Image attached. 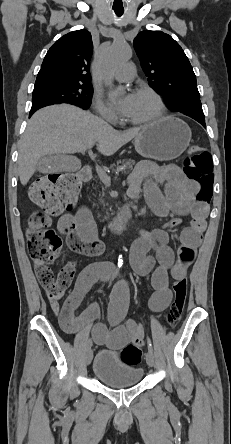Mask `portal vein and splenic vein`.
<instances>
[{
    "mask_svg": "<svg viewBox=\"0 0 231 444\" xmlns=\"http://www.w3.org/2000/svg\"><path fill=\"white\" fill-rule=\"evenodd\" d=\"M89 153H91V148H89ZM121 169L122 168H119V170H121ZM96 171H97L99 178L103 182V184L106 186H110L111 185V178L107 175L105 170H103L100 166L97 165Z\"/></svg>",
    "mask_w": 231,
    "mask_h": 444,
    "instance_id": "portal-vein-and-splenic-vein-1",
    "label": "portal vein and splenic vein"
}]
</instances>
